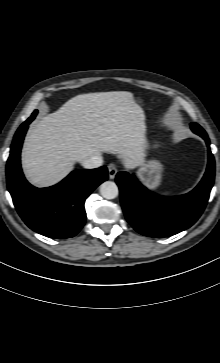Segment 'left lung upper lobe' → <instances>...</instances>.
<instances>
[{
  "label": "left lung upper lobe",
  "mask_w": 220,
  "mask_h": 363,
  "mask_svg": "<svg viewBox=\"0 0 220 363\" xmlns=\"http://www.w3.org/2000/svg\"><path fill=\"white\" fill-rule=\"evenodd\" d=\"M191 129H192V131L194 132V133H196V134H201V133H206L204 130H203V128L200 126V125H198V124H196V123H191Z\"/></svg>",
  "instance_id": "1"
}]
</instances>
